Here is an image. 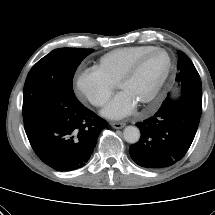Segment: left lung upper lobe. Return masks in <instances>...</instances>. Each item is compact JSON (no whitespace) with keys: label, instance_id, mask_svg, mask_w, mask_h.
Masks as SVG:
<instances>
[{"label":"left lung upper lobe","instance_id":"left-lung-upper-lobe-1","mask_svg":"<svg viewBox=\"0 0 215 215\" xmlns=\"http://www.w3.org/2000/svg\"><path fill=\"white\" fill-rule=\"evenodd\" d=\"M177 69L179 73L176 80L181 86L183 96L202 102L200 76L189 57L181 51H178Z\"/></svg>","mask_w":215,"mask_h":215}]
</instances>
